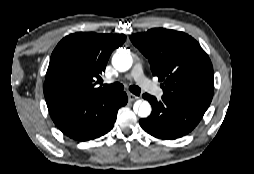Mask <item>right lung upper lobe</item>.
Listing matches in <instances>:
<instances>
[{
    "label": "right lung upper lobe",
    "mask_w": 254,
    "mask_h": 174,
    "mask_svg": "<svg viewBox=\"0 0 254 174\" xmlns=\"http://www.w3.org/2000/svg\"><path fill=\"white\" fill-rule=\"evenodd\" d=\"M126 40L123 34L78 32L63 38L54 49L44 83L47 107L78 94H110L96 81L112 51Z\"/></svg>",
    "instance_id": "obj_1"
}]
</instances>
